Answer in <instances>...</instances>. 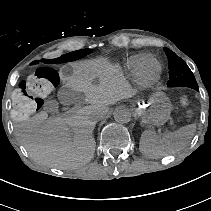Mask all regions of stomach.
<instances>
[{"label":"stomach","mask_w":211,"mask_h":211,"mask_svg":"<svg viewBox=\"0 0 211 211\" xmlns=\"http://www.w3.org/2000/svg\"><path fill=\"white\" fill-rule=\"evenodd\" d=\"M172 105L169 98L163 92H157L147 102L136 108L143 124L161 126L170 117Z\"/></svg>","instance_id":"obj_1"}]
</instances>
